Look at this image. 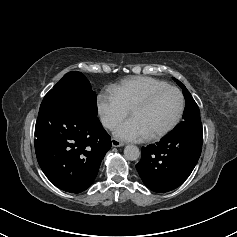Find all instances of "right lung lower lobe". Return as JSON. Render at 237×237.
<instances>
[{"label": "right lung lower lobe", "mask_w": 237, "mask_h": 237, "mask_svg": "<svg viewBox=\"0 0 237 237\" xmlns=\"http://www.w3.org/2000/svg\"><path fill=\"white\" fill-rule=\"evenodd\" d=\"M35 151L47 178L61 190L80 193L97 176L111 138L97 117H87L44 97L35 126Z\"/></svg>", "instance_id": "obj_1"}]
</instances>
